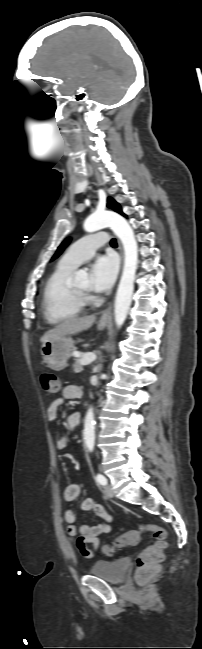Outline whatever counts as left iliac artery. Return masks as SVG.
Returning <instances> with one entry per match:
<instances>
[{
    "mask_svg": "<svg viewBox=\"0 0 202 649\" xmlns=\"http://www.w3.org/2000/svg\"><path fill=\"white\" fill-rule=\"evenodd\" d=\"M96 480H97V482H98L99 484H101V485H106V484H107V480H106V478H105L102 474H100V473L97 474V476H96Z\"/></svg>",
    "mask_w": 202,
    "mask_h": 649,
    "instance_id": "1",
    "label": "left iliac artery"
}]
</instances>
